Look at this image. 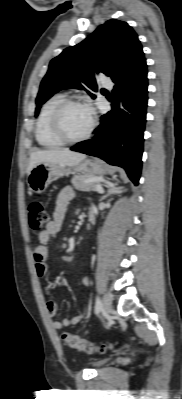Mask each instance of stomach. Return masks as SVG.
<instances>
[{
    "label": "stomach",
    "mask_w": 182,
    "mask_h": 399,
    "mask_svg": "<svg viewBox=\"0 0 182 399\" xmlns=\"http://www.w3.org/2000/svg\"><path fill=\"white\" fill-rule=\"evenodd\" d=\"M104 175L107 167L98 159H84L75 166H63L56 163H40L28 174V187L34 193H43L51 182L71 173Z\"/></svg>",
    "instance_id": "obj_1"
}]
</instances>
